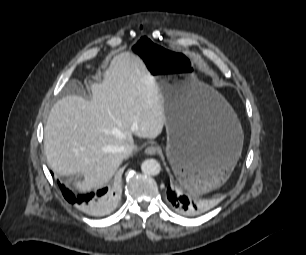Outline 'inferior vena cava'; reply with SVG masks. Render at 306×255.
Returning a JSON list of instances; mask_svg holds the SVG:
<instances>
[{"label": "inferior vena cava", "mask_w": 306, "mask_h": 255, "mask_svg": "<svg viewBox=\"0 0 306 255\" xmlns=\"http://www.w3.org/2000/svg\"><path fill=\"white\" fill-rule=\"evenodd\" d=\"M137 147L134 144H124L121 148L120 151L121 153L126 157L131 155V153L136 149Z\"/></svg>", "instance_id": "602c4592"}]
</instances>
